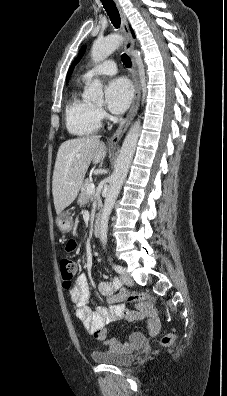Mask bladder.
I'll return each instance as SVG.
<instances>
[{
  "label": "bladder",
  "instance_id": "31cf9c89",
  "mask_svg": "<svg viewBox=\"0 0 227 396\" xmlns=\"http://www.w3.org/2000/svg\"><path fill=\"white\" fill-rule=\"evenodd\" d=\"M93 361L101 364L125 367L132 364L136 355L134 353H119L113 351H95L91 354Z\"/></svg>",
  "mask_w": 227,
  "mask_h": 396
}]
</instances>
